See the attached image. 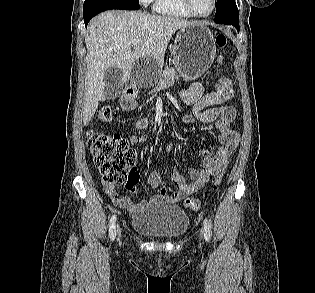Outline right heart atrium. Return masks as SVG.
Here are the masks:
<instances>
[{
	"label": "right heart atrium",
	"instance_id": "right-heart-atrium-1",
	"mask_svg": "<svg viewBox=\"0 0 315 293\" xmlns=\"http://www.w3.org/2000/svg\"><path fill=\"white\" fill-rule=\"evenodd\" d=\"M139 1L145 7H148L155 3V0H139Z\"/></svg>",
	"mask_w": 315,
	"mask_h": 293
}]
</instances>
